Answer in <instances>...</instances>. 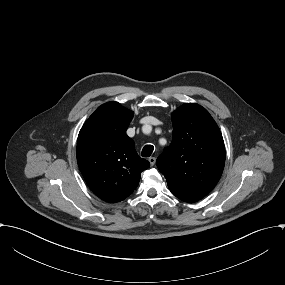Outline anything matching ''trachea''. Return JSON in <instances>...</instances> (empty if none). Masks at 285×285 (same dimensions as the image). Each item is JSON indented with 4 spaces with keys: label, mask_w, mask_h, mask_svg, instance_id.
<instances>
[{
    "label": "trachea",
    "mask_w": 285,
    "mask_h": 285,
    "mask_svg": "<svg viewBox=\"0 0 285 285\" xmlns=\"http://www.w3.org/2000/svg\"><path fill=\"white\" fill-rule=\"evenodd\" d=\"M153 150H154V146H152V145H146V146H144V148L142 149L141 155H142L143 157H149V156H151Z\"/></svg>",
    "instance_id": "obj_1"
}]
</instances>
